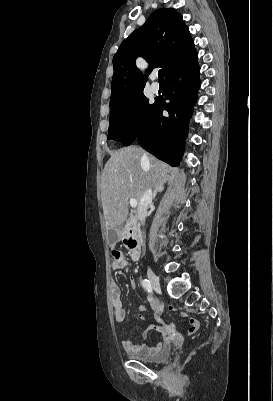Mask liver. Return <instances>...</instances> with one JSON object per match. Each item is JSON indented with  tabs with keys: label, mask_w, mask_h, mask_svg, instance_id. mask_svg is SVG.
<instances>
[{
	"label": "liver",
	"mask_w": 273,
	"mask_h": 401,
	"mask_svg": "<svg viewBox=\"0 0 273 401\" xmlns=\"http://www.w3.org/2000/svg\"><path fill=\"white\" fill-rule=\"evenodd\" d=\"M168 172V164L147 154L143 148L125 146L112 152L101 178V201L107 231L116 229L127 219L129 198H136L140 203L146 188L163 184L164 176H170Z\"/></svg>",
	"instance_id": "1"
}]
</instances>
